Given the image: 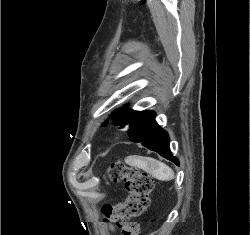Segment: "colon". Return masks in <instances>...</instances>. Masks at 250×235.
Masks as SVG:
<instances>
[{"mask_svg":"<svg viewBox=\"0 0 250 235\" xmlns=\"http://www.w3.org/2000/svg\"><path fill=\"white\" fill-rule=\"evenodd\" d=\"M108 182H123L127 197L121 204L104 205V221L115 223L122 235H139L140 225L134 218L141 216L150 203L153 179L147 173L121 161L112 163L106 172Z\"/></svg>","mask_w":250,"mask_h":235,"instance_id":"obj_1","label":"colon"}]
</instances>
